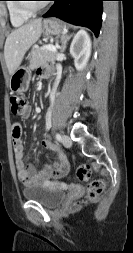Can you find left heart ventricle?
I'll use <instances>...</instances> for the list:
<instances>
[{
    "label": "left heart ventricle",
    "mask_w": 133,
    "mask_h": 253,
    "mask_svg": "<svg viewBox=\"0 0 133 253\" xmlns=\"http://www.w3.org/2000/svg\"><path fill=\"white\" fill-rule=\"evenodd\" d=\"M41 4V2H33V3H31V5H33V6H37V5H40Z\"/></svg>",
    "instance_id": "left-heart-ventricle-1"
}]
</instances>
